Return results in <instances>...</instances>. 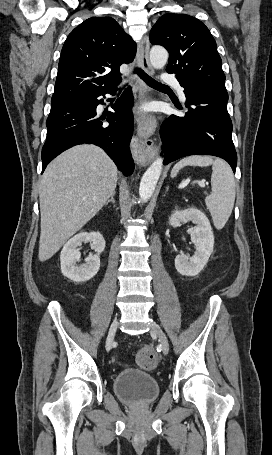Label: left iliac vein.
Returning a JSON list of instances; mask_svg holds the SVG:
<instances>
[{"mask_svg": "<svg viewBox=\"0 0 272 455\" xmlns=\"http://www.w3.org/2000/svg\"><path fill=\"white\" fill-rule=\"evenodd\" d=\"M150 331L152 334H155L158 337L159 342L162 346L163 353L167 355L169 353V343L161 327L157 323L152 322L150 325Z\"/></svg>", "mask_w": 272, "mask_h": 455, "instance_id": "left-iliac-vein-1", "label": "left iliac vein"}]
</instances>
